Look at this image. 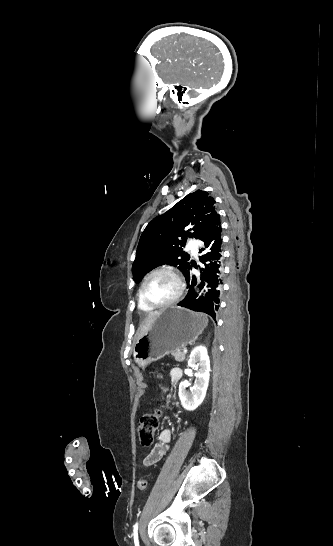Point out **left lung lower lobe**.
Listing matches in <instances>:
<instances>
[{
    "label": "left lung lower lobe",
    "instance_id": "0a47b994",
    "mask_svg": "<svg viewBox=\"0 0 333 546\" xmlns=\"http://www.w3.org/2000/svg\"><path fill=\"white\" fill-rule=\"evenodd\" d=\"M204 247L200 249L203 255L200 261L203 263L201 269V281H197L191 273L192 266L185 276L188 293L178 303L179 306L194 311L204 312L214 320L220 307V296L222 292V254H221V222L220 215H217L212 224L201 233L198 238Z\"/></svg>",
    "mask_w": 333,
    "mask_h": 546
}]
</instances>
